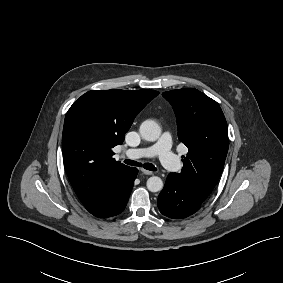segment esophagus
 <instances>
[{"label": "esophagus", "instance_id": "esophagus-1", "mask_svg": "<svg viewBox=\"0 0 283 283\" xmlns=\"http://www.w3.org/2000/svg\"><path fill=\"white\" fill-rule=\"evenodd\" d=\"M141 172L144 173L145 175H152L153 174L152 171L147 170V169H143V168L141 169Z\"/></svg>", "mask_w": 283, "mask_h": 283}]
</instances>
